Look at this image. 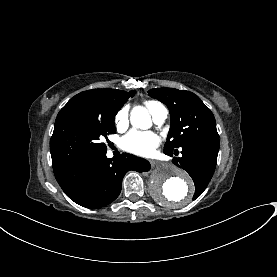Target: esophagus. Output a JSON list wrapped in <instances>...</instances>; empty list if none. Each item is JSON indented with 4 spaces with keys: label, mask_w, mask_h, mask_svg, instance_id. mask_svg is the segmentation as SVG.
I'll list each match as a JSON object with an SVG mask.
<instances>
[{
    "label": "esophagus",
    "mask_w": 277,
    "mask_h": 277,
    "mask_svg": "<svg viewBox=\"0 0 277 277\" xmlns=\"http://www.w3.org/2000/svg\"><path fill=\"white\" fill-rule=\"evenodd\" d=\"M150 163H151L152 166L156 165V161H154V160H150Z\"/></svg>",
    "instance_id": "esophagus-1"
}]
</instances>
